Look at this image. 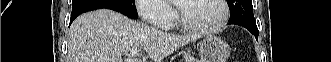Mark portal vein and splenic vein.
<instances>
[{"mask_svg":"<svg viewBox=\"0 0 331 62\" xmlns=\"http://www.w3.org/2000/svg\"><path fill=\"white\" fill-rule=\"evenodd\" d=\"M130 54H131V56H137V55L139 54V49H137V48H132V49L130 50Z\"/></svg>","mask_w":331,"mask_h":62,"instance_id":"1","label":"portal vein and splenic vein"}]
</instances>
